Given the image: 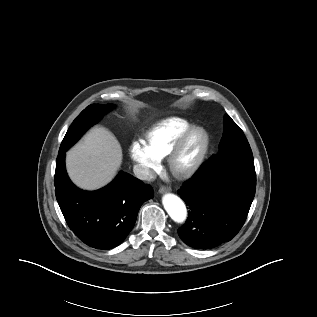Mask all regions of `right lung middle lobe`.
Listing matches in <instances>:
<instances>
[{"instance_id": "dd1d6c3e", "label": "right lung middle lobe", "mask_w": 317, "mask_h": 317, "mask_svg": "<svg viewBox=\"0 0 317 317\" xmlns=\"http://www.w3.org/2000/svg\"><path fill=\"white\" fill-rule=\"evenodd\" d=\"M112 108V104H92L86 107L68 129L61 143L60 151L69 149L89 127L98 122L102 115Z\"/></svg>"}]
</instances>
